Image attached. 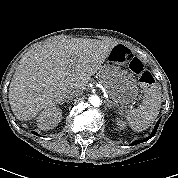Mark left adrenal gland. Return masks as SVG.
Masks as SVG:
<instances>
[{
  "mask_svg": "<svg viewBox=\"0 0 178 178\" xmlns=\"http://www.w3.org/2000/svg\"><path fill=\"white\" fill-rule=\"evenodd\" d=\"M107 106L109 107V108H114V107H116L114 104H112L110 101H107Z\"/></svg>",
  "mask_w": 178,
  "mask_h": 178,
  "instance_id": "left-adrenal-gland-1",
  "label": "left adrenal gland"
}]
</instances>
